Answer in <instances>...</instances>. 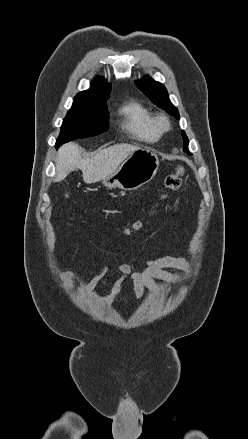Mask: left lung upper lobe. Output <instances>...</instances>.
Returning <instances> with one entry per match:
<instances>
[{
    "label": "left lung upper lobe",
    "mask_w": 248,
    "mask_h": 439,
    "mask_svg": "<svg viewBox=\"0 0 248 439\" xmlns=\"http://www.w3.org/2000/svg\"><path fill=\"white\" fill-rule=\"evenodd\" d=\"M137 87L156 104L158 107L167 111L170 115H173L179 119L178 109L170 102L168 92L163 84L154 81L151 77L145 76L140 81H135ZM184 151L188 150V138L185 132H182Z\"/></svg>",
    "instance_id": "1"
}]
</instances>
